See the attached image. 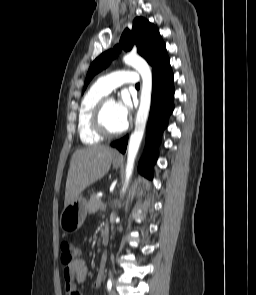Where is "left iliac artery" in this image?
<instances>
[{"label":"left iliac artery","instance_id":"left-iliac-artery-1","mask_svg":"<svg viewBox=\"0 0 256 295\" xmlns=\"http://www.w3.org/2000/svg\"><path fill=\"white\" fill-rule=\"evenodd\" d=\"M111 288H112V279L109 278L108 281H107V289H108V291H110Z\"/></svg>","mask_w":256,"mask_h":295}]
</instances>
